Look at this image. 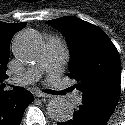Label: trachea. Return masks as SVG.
Instances as JSON below:
<instances>
[{"mask_svg": "<svg viewBox=\"0 0 125 125\" xmlns=\"http://www.w3.org/2000/svg\"><path fill=\"white\" fill-rule=\"evenodd\" d=\"M69 90L70 89H67V91ZM13 91L16 93H20L23 91V88L19 86H13ZM44 92L52 95H63L65 93L64 91H55V90H45Z\"/></svg>", "mask_w": 125, "mask_h": 125, "instance_id": "3493384b", "label": "trachea"}]
</instances>
